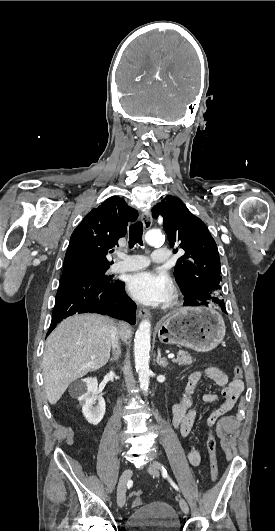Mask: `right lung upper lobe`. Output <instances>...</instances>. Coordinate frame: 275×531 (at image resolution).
<instances>
[{
    "mask_svg": "<svg viewBox=\"0 0 275 531\" xmlns=\"http://www.w3.org/2000/svg\"><path fill=\"white\" fill-rule=\"evenodd\" d=\"M137 217L138 212L117 196L92 209L71 235L63 271L84 265L110 266L112 262L106 258L109 249L118 245L129 222Z\"/></svg>",
    "mask_w": 275,
    "mask_h": 531,
    "instance_id": "1",
    "label": "right lung upper lobe"
}]
</instances>
